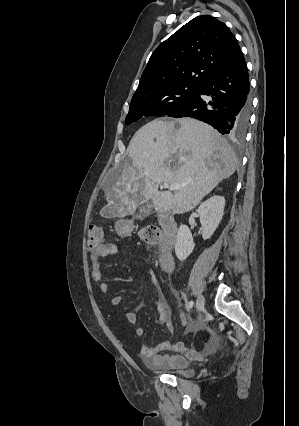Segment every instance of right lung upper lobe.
<instances>
[{"label":"right lung upper lobe","mask_w":299,"mask_h":426,"mask_svg":"<svg viewBox=\"0 0 299 426\" xmlns=\"http://www.w3.org/2000/svg\"><path fill=\"white\" fill-rule=\"evenodd\" d=\"M240 53L224 23L209 15L198 16L153 52L132 100L176 84L200 85Z\"/></svg>","instance_id":"obj_1"}]
</instances>
